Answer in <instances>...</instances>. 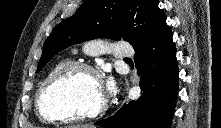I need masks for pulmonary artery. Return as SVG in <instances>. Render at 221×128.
Returning <instances> with one entry per match:
<instances>
[{
	"label": "pulmonary artery",
	"mask_w": 221,
	"mask_h": 128,
	"mask_svg": "<svg viewBox=\"0 0 221 128\" xmlns=\"http://www.w3.org/2000/svg\"><path fill=\"white\" fill-rule=\"evenodd\" d=\"M84 48L90 53H99L104 49H110L116 58L123 60H130L133 55L132 50L128 49L123 42H114L111 45H107L101 41L89 40L84 43Z\"/></svg>",
	"instance_id": "e3ab8cb5"
}]
</instances>
